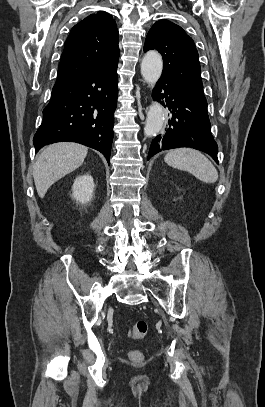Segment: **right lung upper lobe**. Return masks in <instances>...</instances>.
I'll list each match as a JSON object with an SVG mask.
<instances>
[{"label": "right lung upper lobe", "instance_id": "right-lung-upper-lobe-1", "mask_svg": "<svg viewBox=\"0 0 265 407\" xmlns=\"http://www.w3.org/2000/svg\"><path fill=\"white\" fill-rule=\"evenodd\" d=\"M118 41L116 22L106 12L99 11L79 22L65 42L54 88L118 61Z\"/></svg>", "mask_w": 265, "mask_h": 407}]
</instances>
